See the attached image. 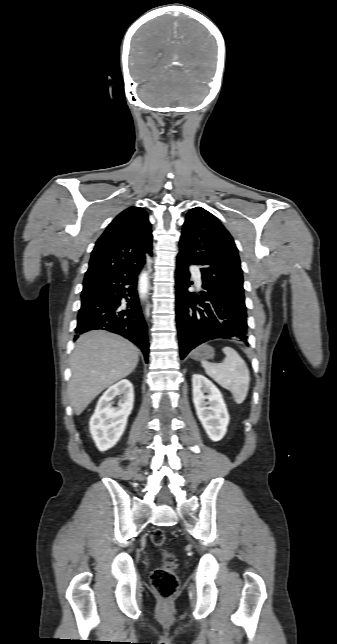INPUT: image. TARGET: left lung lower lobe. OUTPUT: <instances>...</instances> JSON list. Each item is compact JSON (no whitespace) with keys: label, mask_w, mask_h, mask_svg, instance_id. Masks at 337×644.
I'll return each mask as SVG.
<instances>
[{"label":"left lung lower lobe","mask_w":337,"mask_h":644,"mask_svg":"<svg viewBox=\"0 0 337 644\" xmlns=\"http://www.w3.org/2000/svg\"><path fill=\"white\" fill-rule=\"evenodd\" d=\"M189 264L177 258L176 320L181 359L196 346L213 339H232L248 345L246 308L202 280L199 295L189 292Z\"/></svg>","instance_id":"0a47b994"}]
</instances>
